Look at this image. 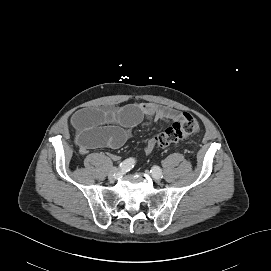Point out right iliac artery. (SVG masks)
<instances>
[{
    "instance_id": "1",
    "label": "right iliac artery",
    "mask_w": 271,
    "mask_h": 271,
    "mask_svg": "<svg viewBox=\"0 0 271 271\" xmlns=\"http://www.w3.org/2000/svg\"><path fill=\"white\" fill-rule=\"evenodd\" d=\"M134 164L135 160L133 158H128L119 165V168L120 170L127 172L134 167Z\"/></svg>"
}]
</instances>
